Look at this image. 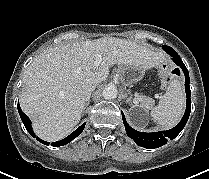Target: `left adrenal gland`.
<instances>
[{"mask_svg": "<svg viewBox=\"0 0 209 179\" xmlns=\"http://www.w3.org/2000/svg\"><path fill=\"white\" fill-rule=\"evenodd\" d=\"M127 101H130L131 102V98H128Z\"/></svg>", "mask_w": 209, "mask_h": 179, "instance_id": "obj_1", "label": "left adrenal gland"}]
</instances>
